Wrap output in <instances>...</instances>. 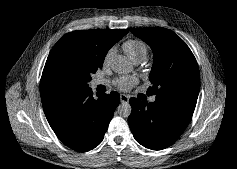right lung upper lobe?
Here are the masks:
<instances>
[{"instance_id":"cb5924a9","label":"right lung upper lobe","mask_w":237,"mask_h":169,"mask_svg":"<svg viewBox=\"0 0 237 169\" xmlns=\"http://www.w3.org/2000/svg\"><path fill=\"white\" fill-rule=\"evenodd\" d=\"M128 29L123 30H82L65 34L52 48L40 82V95L42 103L51 97L76 89L62 81L56 80L50 75V67L57 52L66 45L76 44L88 49L100 60L104 58L108 50L128 33Z\"/></svg>"}]
</instances>
